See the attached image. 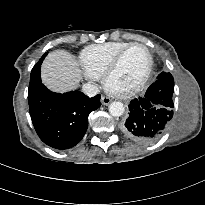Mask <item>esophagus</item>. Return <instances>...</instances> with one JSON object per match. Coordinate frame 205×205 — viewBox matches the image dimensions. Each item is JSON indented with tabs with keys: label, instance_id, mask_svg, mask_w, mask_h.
Returning a JSON list of instances; mask_svg holds the SVG:
<instances>
[{
	"label": "esophagus",
	"instance_id": "34e87169",
	"mask_svg": "<svg viewBox=\"0 0 205 205\" xmlns=\"http://www.w3.org/2000/svg\"><path fill=\"white\" fill-rule=\"evenodd\" d=\"M101 102L103 105H108L111 102V99L107 96H102L101 97Z\"/></svg>",
	"mask_w": 205,
	"mask_h": 205
}]
</instances>
